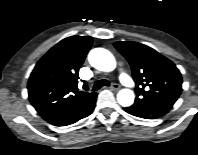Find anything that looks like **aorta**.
<instances>
[{"instance_id":"762f6f07","label":"aorta","mask_w":198,"mask_h":155,"mask_svg":"<svg viewBox=\"0 0 198 155\" xmlns=\"http://www.w3.org/2000/svg\"><path fill=\"white\" fill-rule=\"evenodd\" d=\"M88 60L94 68L110 72L116 68V61L110 51L104 48L92 49L88 54ZM135 95L130 89H121L117 94V101L123 107L131 106Z\"/></svg>"}]
</instances>
